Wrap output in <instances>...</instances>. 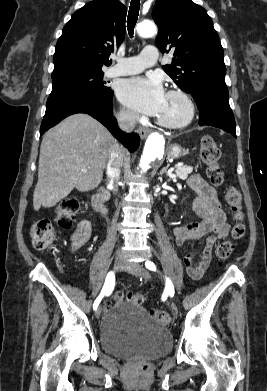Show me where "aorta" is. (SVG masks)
Masks as SVG:
<instances>
[{"mask_svg": "<svg viewBox=\"0 0 267 391\" xmlns=\"http://www.w3.org/2000/svg\"><path fill=\"white\" fill-rule=\"evenodd\" d=\"M137 33L143 38L152 37L157 33V28L153 22L143 21L137 25ZM164 145L162 135L152 133L148 136L139 165L142 172H146L163 155Z\"/></svg>", "mask_w": 267, "mask_h": 391, "instance_id": "762f6f07", "label": "aorta"}]
</instances>
